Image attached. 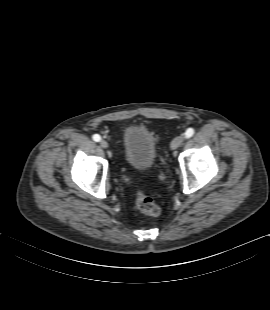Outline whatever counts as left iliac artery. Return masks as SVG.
Instances as JSON below:
<instances>
[{
    "label": "left iliac artery",
    "mask_w": 270,
    "mask_h": 310,
    "mask_svg": "<svg viewBox=\"0 0 270 310\" xmlns=\"http://www.w3.org/2000/svg\"><path fill=\"white\" fill-rule=\"evenodd\" d=\"M193 134H194V129H193V128H188V129L186 130V132H185V137H186V138H190V137L193 136Z\"/></svg>",
    "instance_id": "obj_1"
}]
</instances>
